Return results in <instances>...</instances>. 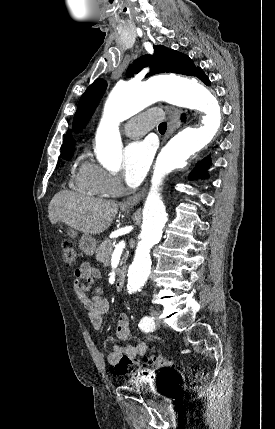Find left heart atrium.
<instances>
[{"label":"left heart atrium","instance_id":"39dd6f15","mask_svg":"<svg viewBox=\"0 0 275 429\" xmlns=\"http://www.w3.org/2000/svg\"><path fill=\"white\" fill-rule=\"evenodd\" d=\"M155 153V145L149 140L129 144L124 152L123 172L126 183L138 186L144 179Z\"/></svg>","mask_w":275,"mask_h":429}]
</instances>
